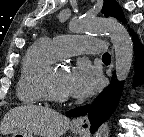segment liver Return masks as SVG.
<instances>
[{"instance_id": "1", "label": "liver", "mask_w": 144, "mask_h": 137, "mask_svg": "<svg viewBox=\"0 0 144 137\" xmlns=\"http://www.w3.org/2000/svg\"><path fill=\"white\" fill-rule=\"evenodd\" d=\"M70 126V120L48 107L24 105L11 109L4 116L0 132L28 133L40 137H61Z\"/></svg>"}]
</instances>
